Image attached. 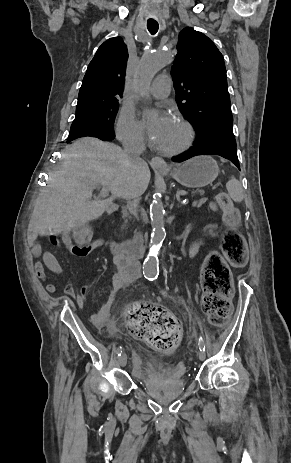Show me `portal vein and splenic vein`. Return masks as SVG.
<instances>
[{
  "label": "portal vein and splenic vein",
  "mask_w": 291,
  "mask_h": 463,
  "mask_svg": "<svg viewBox=\"0 0 291 463\" xmlns=\"http://www.w3.org/2000/svg\"><path fill=\"white\" fill-rule=\"evenodd\" d=\"M107 193H108V191H107L106 189H102L101 194H102L103 196L107 195ZM178 194H183V195H185V194H187V192H186V191H183V190H180V191H178Z\"/></svg>",
  "instance_id": "1"
}]
</instances>
